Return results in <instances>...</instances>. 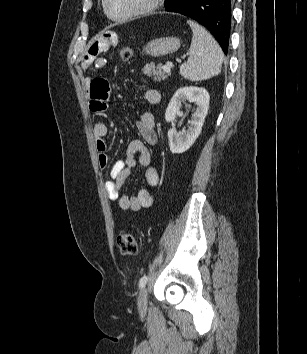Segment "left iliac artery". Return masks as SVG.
I'll return each mask as SVG.
<instances>
[{"label": "left iliac artery", "instance_id": "left-iliac-artery-1", "mask_svg": "<svg viewBox=\"0 0 307 354\" xmlns=\"http://www.w3.org/2000/svg\"><path fill=\"white\" fill-rule=\"evenodd\" d=\"M147 281H148V277H147L146 275H144L143 277H141L140 280H139V287H140V288L145 287Z\"/></svg>", "mask_w": 307, "mask_h": 354}]
</instances>
